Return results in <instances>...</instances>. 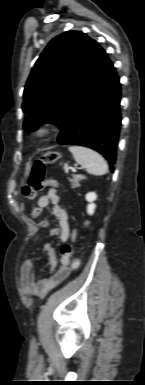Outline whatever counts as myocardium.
I'll return each instance as SVG.
<instances>
[{"label":"myocardium","instance_id":"myocardium-1","mask_svg":"<svg viewBox=\"0 0 145 385\" xmlns=\"http://www.w3.org/2000/svg\"><path fill=\"white\" fill-rule=\"evenodd\" d=\"M50 128L46 126H40L34 131V137L37 139H43L50 134Z\"/></svg>","mask_w":145,"mask_h":385}]
</instances>
